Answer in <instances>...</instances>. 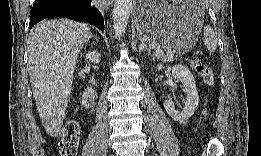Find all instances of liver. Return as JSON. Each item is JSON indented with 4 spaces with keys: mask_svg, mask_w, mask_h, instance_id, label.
<instances>
[{
    "mask_svg": "<svg viewBox=\"0 0 261 156\" xmlns=\"http://www.w3.org/2000/svg\"><path fill=\"white\" fill-rule=\"evenodd\" d=\"M91 35L89 25L69 19L42 21L30 33L31 87L42 124L52 137L61 130L77 59Z\"/></svg>",
    "mask_w": 261,
    "mask_h": 156,
    "instance_id": "liver-1",
    "label": "liver"
}]
</instances>
